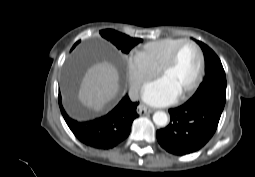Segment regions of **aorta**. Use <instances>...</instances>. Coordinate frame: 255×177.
Returning <instances> with one entry per match:
<instances>
[{"instance_id":"obj_1","label":"aorta","mask_w":255,"mask_h":177,"mask_svg":"<svg viewBox=\"0 0 255 177\" xmlns=\"http://www.w3.org/2000/svg\"><path fill=\"white\" fill-rule=\"evenodd\" d=\"M153 121L157 126L164 127L168 123V116L163 111H157L153 114Z\"/></svg>"}]
</instances>
